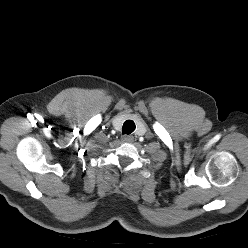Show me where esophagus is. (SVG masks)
<instances>
[{
  "label": "esophagus",
  "mask_w": 248,
  "mask_h": 248,
  "mask_svg": "<svg viewBox=\"0 0 248 248\" xmlns=\"http://www.w3.org/2000/svg\"><path fill=\"white\" fill-rule=\"evenodd\" d=\"M133 140V137L130 135H123L122 136V141L123 142H131Z\"/></svg>",
  "instance_id": "esophagus-1"
}]
</instances>
